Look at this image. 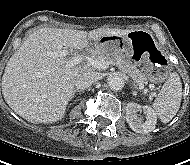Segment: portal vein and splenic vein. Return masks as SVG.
<instances>
[{"label": "portal vein and splenic vein", "instance_id": "18ae733b", "mask_svg": "<svg viewBox=\"0 0 190 165\" xmlns=\"http://www.w3.org/2000/svg\"><path fill=\"white\" fill-rule=\"evenodd\" d=\"M54 57H65L69 53L67 50H59L56 52L51 53ZM82 61H86L88 65L96 68V69H107L110 65L109 62L106 61H99L94 59L93 57L83 56V55H73L69 58V61L66 64V67H74L81 63ZM141 88H144V85H140Z\"/></svg>", "mask_w": 190, "mask_h": 165}]
</instances>
